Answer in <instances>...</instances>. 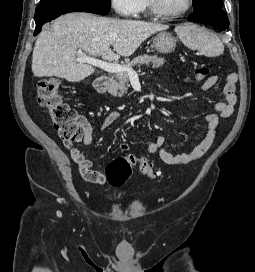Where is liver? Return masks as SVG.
Masks as SVG:
<instances>
[{
	"mask_svg": "<svg viewBox=\"0 0 255 272\" xmlns=\"http://www.w3.org/2000/svg\"><path fill=\"white\" fill-rule=\"evenodd\" d=\"M165 29L168 25L68 13L58 17L50 30L39 34L32 55V72L36 77L56 76L79 82L93 74L95 68L77 62V50L116 61L120 56L129 57L150 35Z\"/></svg>",
	"mask_w": 255,
	"mask_h": 272,
	"instance_id": "obj_1",
	"label": "liver"
}]
</instances>
